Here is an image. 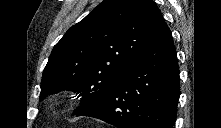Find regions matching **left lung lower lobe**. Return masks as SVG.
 <instances>
[{
	"label": "left lung lower lobe",
	"mask_w": 221,
	"mask_h": 128,
	"mask_svg": "<svg viewBox=\"0 0 221 128\" xmlns=\"http://www.w3.org/2000/svg\"><path fill=\"white\" fill-rule=\"evenodd\" d=\"M179 94L177 55L166 26L110 94L77 116L98 118L118 128H172Z\"/></svg>",
	"instance_id": "0a47b994"
}]
</instances>
